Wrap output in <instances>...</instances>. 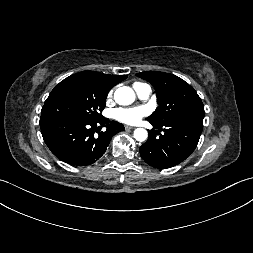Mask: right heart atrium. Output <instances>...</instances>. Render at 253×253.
I'll return each instance as SVG.
<instances>
[{"mask_svg":"<svg viewBox=\"0 0 253 253\" xmlns=\"http://www.w3.org/2000/svg\"><path fill=\"white\" fill-rule=\"evenodd\" d=\"M112 96H113V91L111 90L109 93H108V99H110V98H112Z\"/></svg>","mask_w":253,"mask_h":253,"instance_id":"d8ad5b80","label":"right heart atrium"}]
</instances>
